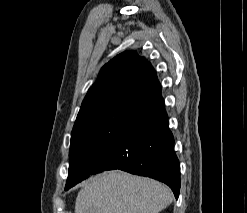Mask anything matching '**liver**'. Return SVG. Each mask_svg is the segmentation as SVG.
Returning <instances> with one entry per match:
<instances>
[{
	"mask_svg": "<svg viewBox=\"0 0 247 213\" xmlns=\"http://www.w3.org/2000/svg\"><path fill=\"white\" fill-rule=\"evenodd\" d=\"M172 200L166 185L115 170L98 174L83 185L75 213H159Z\"/></svg>",
	"mask_w": 247,
	"mask_h": 213,
	"instance_id": "liver-1",
	"label": "liver"
}]
</instances>
